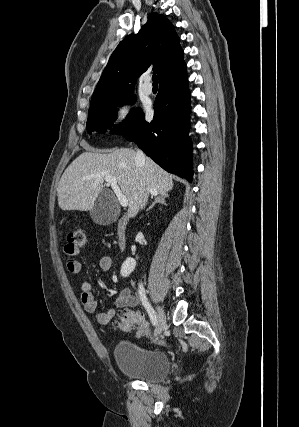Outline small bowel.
Wrapping results in <instances>:
<instances>
[{
	"instance_id": "small-bowel-1",
	"label": "small bowel",
	"mask_w": 299,
	"mask_h": 427,
	"mask_svg": "<svg viewBox=\"0 0 299 427\" xmlns=\"http://www.w3.org/2000/svg\"><path fill=\"white\" fill-rule=\"evenodd\" d=\"M67 256L66 266L70 273L77 274L81 271V262L78 259V253L74 255H69L65 252ZM99 267L103 271H108L111 268V259L108 256H102L99 259ZM81 295L80 302L86 313H93L96 310L97 302L95 300V289L93 283L89 280H84L81 282ZM115 304L118 308H130L138 305V298L134 296L129 289L124 288L118 292ZM142 319L144 315L141 312H137ZM115 316V310L110 309L108 311L99 312L95 316V320L98 324L105 325L108 324L112 318ZM147 323V322H146ZM148 325V324H147ZM148 333H145L141 326L137 327L136 336L138 338L145 336Z\"/></svg>"
}]
</instances>
